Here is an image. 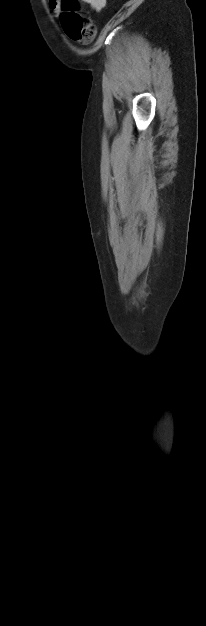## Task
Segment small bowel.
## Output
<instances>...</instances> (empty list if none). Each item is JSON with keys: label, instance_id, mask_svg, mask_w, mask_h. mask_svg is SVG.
Segmentation results:
<instances>
[{"label": "small bowel", "instance_id": "1", "mask_svg": "<svg viewBox=\"0 0 206 626\" xmlns=\"http://www.w3.org/2000/svg\"><path fill=\"white\" fill-rule=\"evenodd\" d=\"M85 3L89 4L92 9L96 12H100L104 9L107 0H83ZM49 7L53 11L54 14H59L61 10V0H48Z\"/></svg>", "mask_w": 206, "mask_h": 626}]
</instances>
